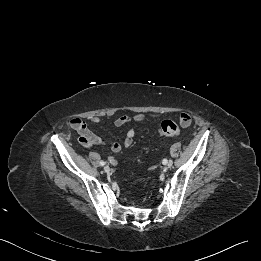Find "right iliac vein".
<instances>
[{
	"instance_id": "obj_1",
	"label": "right iliac vein",
	"mask_w": 261,
	"mask_h": 261,
	"mask_svg": "<svg viewBox=\"0 0 261 261\" xmlns=\"http://www.w3.org/2000/svg\"><path fill=\"white\" fill-rule=\"evenodd\" d=\"M104 171L108 173V172L110 171V167H109V166H107V165H106V166H104Z\"/></svg>"
}]
</instances>
